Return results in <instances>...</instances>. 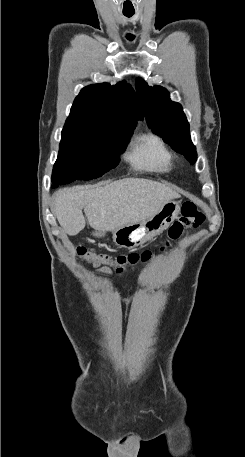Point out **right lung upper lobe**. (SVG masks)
<instances>
[{"label":"right lung upper lobe","mask_w":245,"mask_h":457,"mask_svg":"<svg viewBox=\"0 0 245 457\" xmlns=\"http://www.w3.org/2000/svg\"><path fill=\"white\" fill-rule=\"evenodd\" d=\"M142 118L133 88L122 81L113 86L101 83L83 88L67 120L135 126Z\"/></svg>","instance_id":"1"}]
</instances>
